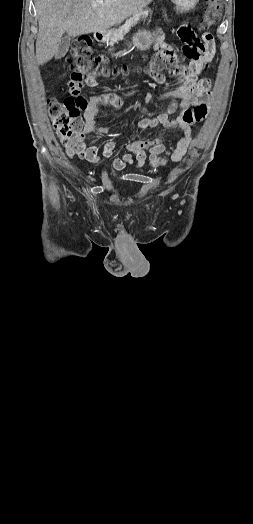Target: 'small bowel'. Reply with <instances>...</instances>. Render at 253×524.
I'll use <instances>...</instances> for the list:
<instances>
[{
  "label": "small bowel",
  "mask_w": 253,
  "mask_h": 524,
  "mask_svg": "<svg viewBox=\"0 0 253 524\" xmlns=\"http://www.w3.org/2000/svg\"><path fill=\"white\" fill-rule=\"evenodd\" d=\"M176 38L179 44H182L180 51L181 56L184 57L186 62H190V64L188 66L183 64L178 65L179 59L176 57V50L164 41L163 34H159L155 43L156 54L149 62V69L147 70V75L156 86L164 82L165 73L177 76V87L166 90L160 94L162 98L173 97L176 100L168 105L166 111L154 117L142 118L138 123V127L143 131L161 125L166 129L180 131L183 137L169 146H167L161 138H156L151 141L142 140L141 138L134 139L125 146L121 158H113L116 142L109 140L104 144L102 156L117 170L123 169L126 165L130 164L141 167L145 163L148 155L154 156L161 154L167 147L173 149L181 158L188 148L191 133L190 126L193 123L191 107L203 105L210 97V82L208 79L200 77V74L207 68L216 46L212 43L214 40L212 34L205 31V35H199L198 31L192 29L190 24H181L176 31ZM167 83H170V80H167ZM153 97V94L149 93L145 95L143 102L149 103L153 100ZM104 105L119 109L123 107L124 100L111 93H102L93 96L89 100L84 115V128L78 134L76 140L66 148V153L70 158L78 156L91 163H97L99 161L97 148L88 145L86 141L96 134L100 141L107 139L109 129L96 124V118L99 115L100 108ZM177 110H179L178 116L175 119H171L170 116ZM133 155L135 156V160Z\"/></svg>",
  "instance_id": "small-bowel-1"
}]
</instances>
